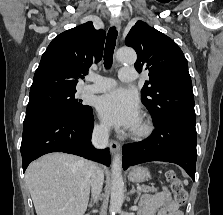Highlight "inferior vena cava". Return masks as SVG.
I'll return each instance as SVG.
<instances>
[{"label": "inferior vena cava", "instance_id": "obj_1", "mask_svg": "<svg viewBox=\"0 0 223 215\" xmlns=\"http://www.w3.org/2000/svg\"><path fill=\"white\" fill-rule=\"evenodd\" d=\"M108 139L109 129H107V127H95L92 133V143H94L96 147H106ZM90 171L92 195L94 199H97L100 191H102L104 175L101 167H97L96 163H91Z\"/></svg>", "mask_w": 223, "mask_h": 215}]
</instances>
